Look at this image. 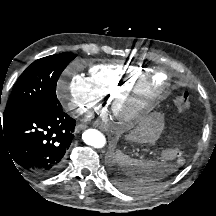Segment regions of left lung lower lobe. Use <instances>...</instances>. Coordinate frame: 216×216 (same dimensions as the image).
Here are the masks:
<instances>
[{"instance_id": "0a47b994", "label": "left lung lower lobe", "mask_w": 216, "mask_h": 216, "mask_svg": "<svg viewBox=\"0 0 216 216\" xmlns=\"http://www.w3.org/2000/svg\"><path fill=\"white\" fill-rule=\"evenodd\" d=\"M113 177H114L115 183L122 189L136 190L139 188V186L125 172L123 174L115 172L113 174Z\"/></svg>"}]
</instances>
